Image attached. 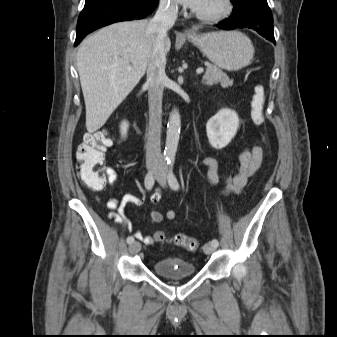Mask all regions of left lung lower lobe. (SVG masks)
I'll return each instance as SVG.
<instances>
[{
  "instance_id": "left-lung-lower-lobe-1",
  "label": "left lung lower lobe",
  "mask_w": 337,
  "mask_h": 337,
  "mask_svg": "<svg viewBox=\"0 0 337 337\" xmlns=\"http://www.w3.org/2000/svg\"><path fill=\"white\" fill-rule=\"evenodd\" d=\"M217 27L224 30L251 28L275 44L272 14L261 7H251L233 14Z\"/></svg>"
}]
</instances>
